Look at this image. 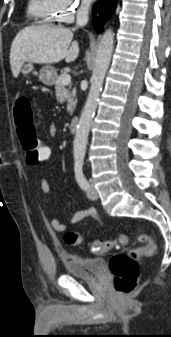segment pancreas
I'll use <instances>...</instances> for the list:
<instances>
[{"mask_svg":"<svg viewBox=\"0 0 171 337\" xmlns=\"http://www.w3.org/2000/svg\"><path fill=\"white\" fill-rule=\"evenodd\" d=\"M65 73L61 74L55 81V91L57 100L61 103L68 101V108L67 110L70 114L73 113V106H74V99L75 91L70 93L69 89L66 88V85L62 83V78Z\"/></svg>","mask_w":171,"mask_h":337,"instance_id":"pancreas-1","label":"pancreas"}]
</instances>
